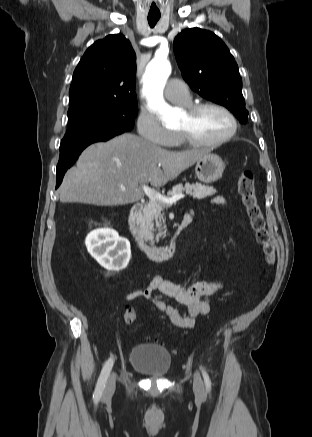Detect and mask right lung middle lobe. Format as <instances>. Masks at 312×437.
I'll return each mask as SVG.
<instances>
[{
  "label": "right lung middle lobe",
  "mask_w": 312,
  "mask_h": 437,
  "mask_svg": "<svg viewBox=\"0 0 312 437\" xmlns=\"http://www.w3.org/2000/svg\"><path fill=\"white\" fill-rule=\"evenodd\" d=\"M137 111V102H89L69 107L68 129L61 141L60 152L130 131Z\"/></svg>",
  "instance_id": "right-lung-middle-lobe-1"
}]
</instances>
